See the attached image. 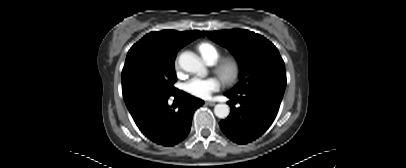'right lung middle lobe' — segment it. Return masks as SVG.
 Listing matches in <instances>:
<instances>
[{
	"instance_id": "dd1d6c3e",
	"label": "right lung middle lobe",
	"mask_w": 406,
	"mask_h": 168,
	"mask_svg": "<svg viewBox=\"0 0 406 168\" xmlns=\"http://www.w3.org/2000/svg\"><path fill=\"white\" fill-rule=\"evenodd\" d=\"M174 59L151 54L127 55L122 70V92L131 114L171 96L177 89Z\"/></svg>"
}]
</instances>
